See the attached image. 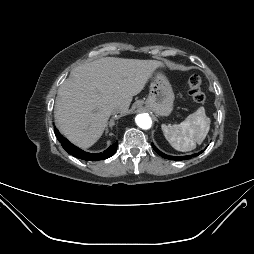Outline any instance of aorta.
Masks as SVG:
<instances>
[{
    "mask_svg": "<svg viewBox=\"0 0 254 254\" xmlns=\"http://www.w3.org/2000/svg\"><path fill=\"white\" fill-rule=\"evenodd\" d=\"M135 121L136 124L142 129H149L152 125V120L146 113L137 115Z\"/></svg>",
    "mask_w": 254,
    "mask_h": 254,
    "instance_id": "1",
    "label": "aorta"
}]
</instances>
